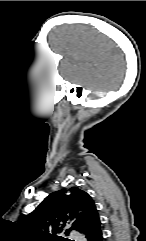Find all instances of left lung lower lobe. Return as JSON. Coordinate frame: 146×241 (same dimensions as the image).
<instances>
[{"label": "left lung lower lobe", "instance_id": "obj_1", "mask_svg": "<svg viewBox=\"0 0 146 241\" xmlns=\"http://www.w3.org/2000/svg\"><path fill=\"white\" fill-rule=\"evenodd\" d=\"M100 225L101 222L99 219L94 224L84 229L83 234L85 235L87 241H102L103 236Z\"/></svg>", "mask_w": 146, "mask_h": 241}]
</instances>
